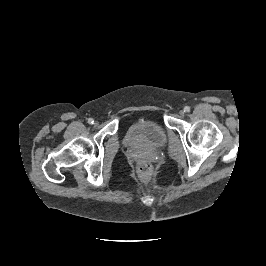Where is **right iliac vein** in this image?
Returning a JSON list of instances; mask_svg holds the SVG:
<instances>
[{
  "mask_svg": "<svg viewBox=\"0 0 266 266\" xmlns=\"http://www.w3.org/2000/svg\"><path fill=\"white\" fill-rule=\"evenodd\" d=\"M95 125H98V122H95Z\"/></svg>",
  "mask_w": 266,
  "mask_h": 266,
  "instance_id": "obj_1",
  "label": "right iliac vein"
}]
</instances>
